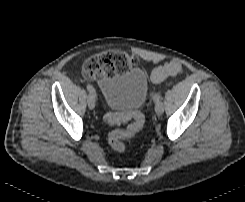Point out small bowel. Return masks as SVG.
Instances as JSON below:
<instances>
[{"label": "small bowel", "instance_id": "obj_1", "mask_svg": "<svg viewBox=\"0 0 245 202\" xmlns=\"http://www.w3.org/2000/svg\"><path fill=\"white\" fill-rule=\"evenodd\" d=\"M153 72H154V71H153ZM153 72H152V74H151L150 79H151V81H152L154 84H158V83L161 82V81L157 80V79L154 77Z\"/></svg>", "mask_w": 245, "mask_h": 202}]
</instances>
